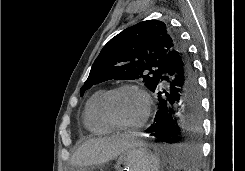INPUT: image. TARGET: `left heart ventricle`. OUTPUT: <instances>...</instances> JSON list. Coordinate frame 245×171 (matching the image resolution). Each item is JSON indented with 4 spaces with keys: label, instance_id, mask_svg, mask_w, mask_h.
I'll use <instances>...</instances> for the list:
<instances>
[{
    "label": "left heart ventricle",
    "instance_id": "left-heart-ventricle-1",
    "mask_svg": "<svg viewBox=\"0 0 245 171\" xmlns=\"http://www.w3.org/2000/svg\"><path fill=\"white\" fill-rule=\"evenodd\" d=\"M110 110L120 123L136 124L144 115L145 100L136 90H123L111 99Z\"/></svg>",
    "mask_w": 245,
    "mask_h": 171
}]
</instances>
